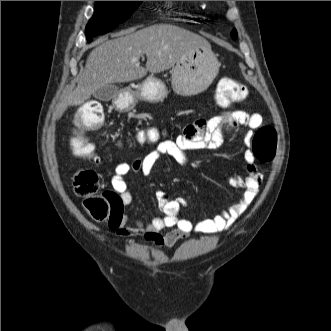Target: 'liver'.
I'll use <instances>...</instances> for the list:
<instances>
[{"instance_id": "liver-1", "label": "liver", "mask_w": 331, "mask_h": 331, "mask_svg": "<svg viewBox=\"0 0 331 331\" xmlns=\"http://www.w3.org/2000/svg\"><path fill=\"white\" fill-rule=\"evenodd\" d=\"M206 44L209 43L201 36L170 24H155L136 32L129 30L102 42L90 52L77 87L63 98L54 117L61 118L68 106L84 103L107 84L131 82L143 78L147 72L168 70L184 54ZM144 54L145 68L139 62Z\"/></svg>"}]
</instances>
